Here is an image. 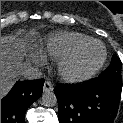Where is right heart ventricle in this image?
Masks as SVG:
<instances>
[{"label":"right heart ventricle","mask_w":123,"mask_h":123,"mask_svg":"<svg viewBox=\"0 0 123 123\" xmlns=\"http://www.w3.org/2000/svg\"><path fill=\"white\" fill-rule=\"evenodd\" d=\"M90 38L78 32H57L49 35L38 47L41 56L58 60L79 44Z\"/></svg>","instance_id":"1"}]
</instances>
